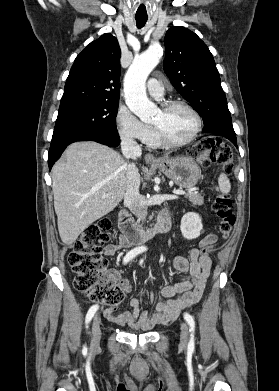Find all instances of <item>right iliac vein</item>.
Masks as SVG:
<instances>
[{"label": "right iliac vein", "instance_id": "1", "mask_svg": "<svg viewBox=\"0 0 279 391\" xmlns=\"http://www.w3.org/2000/svg\"><path fill=\"white\" fill-rule=\"evenodd\" d=\"M92 336H93V344H98L101 337V329H100V318L99 316H95L92 323Z\"/></svg>", "mask_w": 279, "mask_h": 391}]
</instances>
